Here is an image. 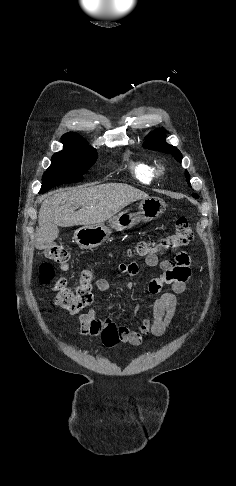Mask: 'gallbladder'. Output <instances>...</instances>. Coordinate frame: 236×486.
Masks as SVG:
<instances>
[{"mask_svg": "<svg viewBox=\"0 0 236 486\" xmlns=\"http://www.w3.org/2000/svg\"><path fill=\"white\" fill-rule=\"evenodd\" d=\"M59 230L58 226L55 224H51L41 230L38 237L41 238V241L37 242L36 247L40 250L45 249L48 247L50 243H52L58 236Z\"/></svg>", "mask_w": 236, "mask_h": 486, "instance_id": "gallbladder-1", "label": "gallbladder"}]
</instances>
